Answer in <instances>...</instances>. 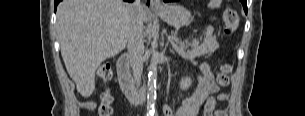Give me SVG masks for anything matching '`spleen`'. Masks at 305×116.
I'll return each mask as SVG.
<instances>
[{
    "label": "spleen",
    "mask_w": 305,
    "mask_h": 116,
    "mask_svg": "<svg viewBox=\"0 0 305 116\" xmlns=\"http://www.w3.org/2000/svg\"><path fill=\"white\" fill-rule=\"evenodd\" d=\"M221 4L220 0H211L210 3L208 4L209 8H216L219 7Z\"/></svg>",
    "instance_id": "1"
}]
</instances>
